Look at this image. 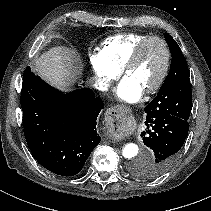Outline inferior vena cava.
Instances as JSON below:
<instances>
[{"instance_id":"obj_1","label":"inferior vena cava","mask_w":211,"mask_h":211,"mask_svg":"<svg viewBox=\"0 0 211 211\" xmlns=\"http://www.w3.org/2000/svg\"><path fill=\"white\" fill-rule=\"evenodd\" d=\"M95 87L97 88V89H107V87H108V83H106V82H102V83H96L95 84Z\"/></svg>"}]
</instances>
